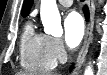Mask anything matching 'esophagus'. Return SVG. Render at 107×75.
Masks as SVG:
<instances>
[{
    "label": "esophagus",
    "instance_id": "34e87169",
    "mask_svg": "<svg viewBox=\"0 0 107 75\" xmlns=\"http://www.w3.org/2000/svg\"><path fill=\"white\" fill-rule=\"evenodd\" d=\"M87 4H88V10H89V19H88L87 29H86V33L84 37L83 46L76 60V65H75V70H74L75 72H77L80 69L82 63L84 62L85 57L88 52L89 45L93 38L95 6H94L93 0H87Z\"/></svg>",
    "mask_w": 107,
    "mask_h": 75
}]
</instances>
